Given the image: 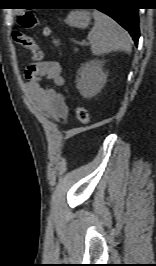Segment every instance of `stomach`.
<instances>
[{
	"mask_svg": "<svg viewBox=\"0 0 156 266\" xmlns=\"http://www.w3.org/2000/svg\"><path fill=\"white\" fill-rule=\"evenodd\" d=\"M90 14L87 11H72L65 20L67 24L77 28H86L90 23Z\"/></svg>",
	"mask_w": 156,
	"mask_h": 266,
	"instance_id": "0dacf381",
	"label": "stomach"
}]
</instances>
